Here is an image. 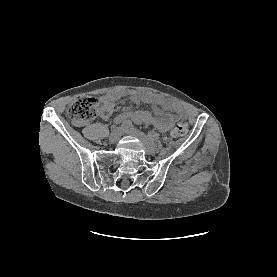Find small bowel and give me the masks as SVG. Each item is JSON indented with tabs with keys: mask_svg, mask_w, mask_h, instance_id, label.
Wrapping results in <instances>:
<instances>
[{
	"mask_svg": "<svg viewBox=\"0 0 277 277\" xmlns=\"http://www.w3.org/2000/svg\"><path fill=\"white\" fill-rule=\"evenodd\" d=\"M122 93H108L102 96L101 101L104 106L102 117L109 119L114 109L115 101L122 97ZM128 95L134 103H147L154 107L153 110L132 111L127 110L118 115L115 121L133 120L137 123H151L161 131H167L173 121L175 115L166 113L174 108V105L167 99L158 97L151 93H140L137 91H129Z\"/></svg>",
	"mask_w": 277,
	"mask_h": 277,
	"instance_id": "c3829d8e",
	"label": "small bowel"
}]
</instances>
